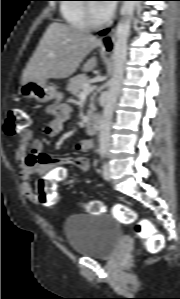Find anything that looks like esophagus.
Instances as JSON below:
<instances>
[{
    "label": "esophagus",
    "instance_id": "obj_1",
    "mask_svg": "<svg viewBox=\"0 0 180 299\" xmlns=\"http://www.w3.org/2000/svg\"><path fill=\"white\" fill-rule=\"evenodd\" d=\"M115 40H114V28L103 38L101 47L106 52H111L114 48Z\"/></svg>",
    "mask_w": 180,
    "mask_h": 299
}]
</instances>
